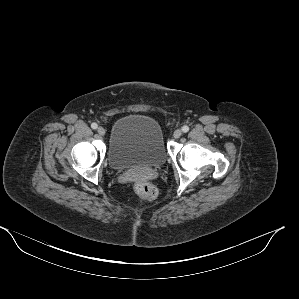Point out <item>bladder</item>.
Returning a JSON list of instances; mask_svg holds the SVG:
<instances>
[{"label": "bladder", "instance_id": "1", "mask_svg": "<svg viewBox=\"0 0 299 299\" xmlns=\"http://www.w3.org/2000/svg\"><path fill=\"white\" fill-rule=\"evenodd\" d=\"M166 159L162 129L154 118L129 114L114 122L107 150V160L113 170L160 167Z\"/></svg>", "mask_w": 299, "mask_h": 299}]
</instances>
